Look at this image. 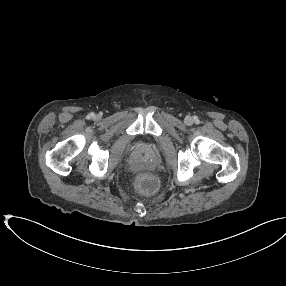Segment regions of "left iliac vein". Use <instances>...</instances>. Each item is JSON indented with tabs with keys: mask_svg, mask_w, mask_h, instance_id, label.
<instances>
[{
	"mask_svg": "<svg viewBox=\"0 0 286 286\" xmlns=\"http://www.w3.org/2000/svg\"><path fill=\"white\" fill-rule=\"evenodd\" d=\"M192 122H193L192 117H190V116L185 117V123L186 124L190 125V124H192Z\"/></svg>",
	"mask_w": 286,
	"mask_h": 286,
	"instance_id": "1",
	"label": "left iliac vein"
}]
</instances>
